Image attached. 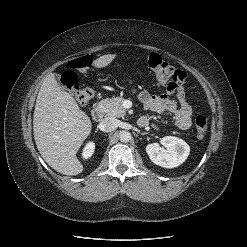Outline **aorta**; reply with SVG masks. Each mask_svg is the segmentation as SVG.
Returning a JSON list of instances; mask_svg holds the SVG:
<instances>
[{
	"label": "aorta",
	"instance_id": "aorta-1",
	"mask_svg": "<svg viewBox=\"0 0 247 247\" xmlns=\"http://www.w3.org/2000/svg\"><path fill=\"white\" fill-rule=\"evenodd\" d=\"M119 139L121 142L127 143L132 139V135L128 131H122L119 134Z\"/></svg>",
	"mask_w": 247,
	"mask_h": 247
}]
</instances>
